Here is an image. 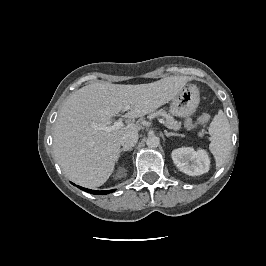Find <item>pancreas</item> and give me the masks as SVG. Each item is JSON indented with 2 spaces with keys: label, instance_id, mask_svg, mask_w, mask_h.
<instances>
[{
  "label": "pancreas",
  "instance_id": "cf45deb5",
  "mask_svg": "<svg viewBox=\"0 0 266 266\" xmlns=\"http://www.w3.org/2000/svg\"><path fill=\"white\" fill-rule=\"evenodd\" d=\"M156 116H162L165 118L166 127L172 130H179L181 128V122L176 121L170 114H167L164 110L156 112Z\"/></svg>",
  "mask_w": 266,
  "mask_h": 266
}]
</instances>
